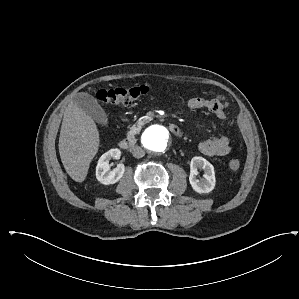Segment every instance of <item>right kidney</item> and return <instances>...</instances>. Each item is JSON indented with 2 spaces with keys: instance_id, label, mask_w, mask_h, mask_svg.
Masks as SVG:
<instances>
[{
  "instance_id": "obj_1",
  "label": "right kidney",
  "mask_w": 299,
  "mask_h": 299,
  "mask_svg": "<svg viewBox=\"0 0 299 299\" xmlns=\"http://www.w3.org/2000/svg\"><path fill=\"white\" fill-rule=\"evenodd\" d=\"M120 156L121 151L116 148L109 150L99 158L96 166V178L100 183L104 185L114 184L122 178L125 172L124 164H118L113 170H110L109 164L111 158L117 159Z\"/></svg>"
}]
</instances>
